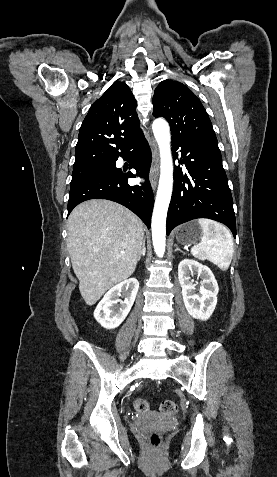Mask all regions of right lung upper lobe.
<instances>
[{"label": "right lung upper lobe", "mask_w": 277, "mask_h": 477, "mask_svg": "<svg viewBox=\"0 0 277 477\" xmlns=\"http://www.w3.org/2000/svg\"><path fill=\"white\" fill-rule=\"evenodd\" d=\"M136 100L124 82H116L90 107L80 127L73 168L109 162L144 135Z\"/></svg>", "instance_id": "1"}]
</instances>
